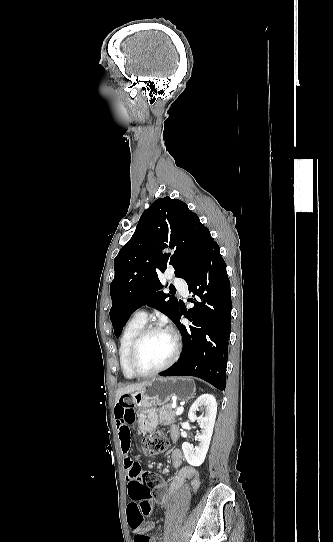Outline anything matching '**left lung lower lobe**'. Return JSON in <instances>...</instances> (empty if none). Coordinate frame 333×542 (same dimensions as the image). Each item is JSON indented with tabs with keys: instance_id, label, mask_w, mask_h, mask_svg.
<instances>
[{
	"instance_id": "left-lung-lower-lobe-1",
	"label": "left lung lower lobe",
	"mask_w": 333,
	"mask_h": 542,
	"mask_svg": "<svg viewBox=\"0 0 333 542\" xmlns=\"http://www.w3.org/2000/svg\"><path fill=\"white\" fill-rule=\"evenodd\" d=\"M185 281L189 292L196 297L188 300L194 303L189 312L184 314L180 307L175 323L183 339L182 353L179 360L160 375L195 376L224 390L231 331V291L226 264L213 238L198 267ZM183 314L192 326L180 323Z\"/></svg>"
}]
</instances>
